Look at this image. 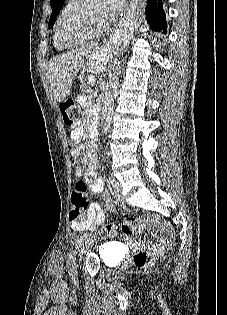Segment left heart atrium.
<instances>
[{"instance_id":"obj_1","label":"left heart atrium","mask_w":227,"mask_h":315,"mask_svg":"<svg viewBox=\"0 0 227 315\" xmlns=\"http://www.w3.org/2000/svg\"><path fill=\"white\" fill-rule=\"evenodd\" d=\"M125 0H98L102 17L107 24L111 23L121 11Z\"/></svg>"}]
</instances>
